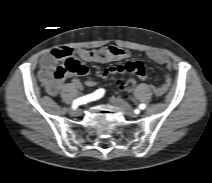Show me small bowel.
I'll list each match as a JSON object with an SVG mask.
<instances>
[{"mask_svg": "<svg viewBox=\"0 0 212 183\" xmlns=\"http://www.w3.org/2000/svg\"><path fill=\"white\" fill-rule=\"evenodd\" d=\"M58 50L63 51L64 53H66V56L69 57L76 54L85 62H95L102 64L127 59L130 56V53L128 51L117 46H107L97 50H79V51H75L71 48H60L52 51L51 53L45 54L40 61L39 77L47 93L51 96H56L61 88V81H56L52 75L53 70L55 69L58 61L60 60L56 56V51ZM147 55L155 63L166 65L167 70L170 71L171 69L170 60L165 53L159 51H150L148 52ZM126 73L135 74L142 80H145L147 78V74L143 64L138 61L127 62L123 65L110 66L103 71L102 75L103 77H107L110 75L126 74ZM72 83L75 87L81 86L79 80L77 79H73ZM170 84H171V76L167 75L164 83L155 89L156 95L161 96L164 93H166L170 87ZM86 85L93 86L95 85V81L93 79H87Z\"/></svg>", "mask_w": 212, "mask_h": 183, "instance_id": "small-bowel-1", "label": "small bowel"}]
</instances>
